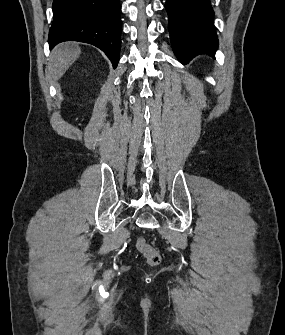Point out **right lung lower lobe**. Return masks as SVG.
<instances>
[{"label":"right lung lower lobe","mask_w":285,"mask_h":335,"mask_svg":"<svg viewBox=\"0 0 285 335\" xmlns=\"http://www.w3.org/2000/svg\"><path fill=\"white\" fill-rule=\"evenodd\" d=\"M49 47L79 41L100 48L117 67L122 24L119 0H53Z\"/></svg>","instance_id":"right-lung-lower-lobe-1"}]
</instances>
